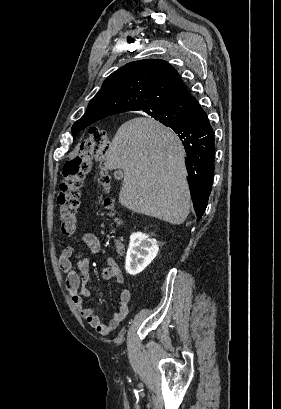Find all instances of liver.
Returning <instances> with one entry per match:
<instances>
[{"label": "liver", "instance_id": "obj_1", "mask_svg": "<svg viewBox=\"0 0 281 409\" xmlns=\"http://www.w3.org/2000/svg\"><path fill=\"white\" fill-rule=\"evenodd\" d=\"M107 168H122L119 202L126 209L181 225L190 213L183 146L173 130L154 118L137 116L118 128Z\"/></svg>", "mask_w": 281, "mask_h": 409}]
</instances>
